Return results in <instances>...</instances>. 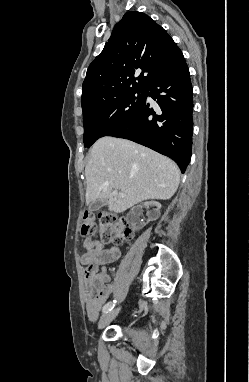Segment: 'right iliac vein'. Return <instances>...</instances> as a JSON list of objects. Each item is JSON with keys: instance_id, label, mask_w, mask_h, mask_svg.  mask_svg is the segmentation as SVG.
<instances>
[{"instance_id": "obj_1", "label": "right iliac vein", "mask_w": 249, "mask_h": 382, "mask_svg": "<svg viewBox=\"0 0 249 382\" xmlns=\"http://www.w3.org/2000/svg\"><path fill=\"white\" fill-rule=\"evenodd\" d=\"M119 311H120V308H115V309L111 310L110 312L106 313L105 315H103L99 321L98 327L100 329L104 328L107 324H109L117 316Z\"/></svg>"}]
</instances>
